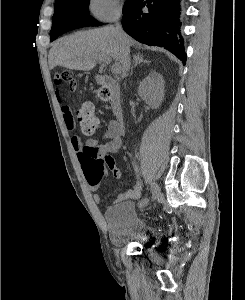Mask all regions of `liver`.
<instances>
[{"label": "liver", "instance_id": "1", "mask_svg": "<svg viewBox=\"0 0 245 300\" xmlns=\"http://www.w3.org/2000/svg\"><path fill=\"white\" fill-rule=\"evenodd\" d=\"M136 43L125 34L120 38L112 26L80 31L57 41L49 52V68L89 71L101 57L114 59L124 70L125 51Z\"/></svg>", "mask_w": 245, "mask_h": 300}]
</instances>
